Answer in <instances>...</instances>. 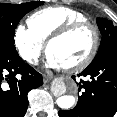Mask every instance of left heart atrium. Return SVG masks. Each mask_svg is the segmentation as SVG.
Returning <instances> with one entry per match:
<instances>
[{
	"instance_id": "obj_1",
	"label": "left heart atrium",
	"mask_w": 117,
	"mask_h": 117,
	"mask_svg": "<svg viewBox=\"0 0 117 117\" xmlns=\"http://www.w3.org/2000/svg\"><path fill=\"white\" fill-rule=\"evenodd\" d=\"M46 66L49 69H55V70H60V69L65 68V66L61 62H59L57 59L50 56L49 54L47 57Z\"/></svg>"
}]
</instances>
